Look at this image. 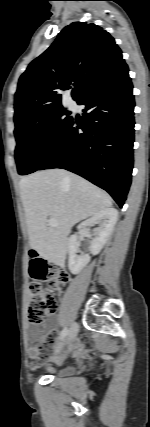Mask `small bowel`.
<instances>
[{"mask_svg": "<svg viewBox=\"0 0 150 427\" xmlns=\"http://www.w3.org/2000/svg\"><path fill=\"white\" fill-rule=\"evenodd\" d=\"M55 325V319L50 317L43 325L33 327L30 331V338L33 341H37L38 344L31 345L28 349V355L33 359L32 368L41 366L55 342V334L53 333V327ZM76 342L73 346H76Z\"/></svg>", "mask_w": 150, "mask_h": 427, "instance_id": "small-bowel-1", "label": "small bowel"}]
</instances>
